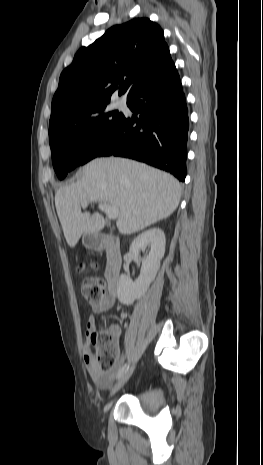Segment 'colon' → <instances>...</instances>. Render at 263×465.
<instances>
[{"label":"colon","instance_id":"5ec220e1","mask_svg":"<svg viewBox=\"0 0 263 465\" xmlns=\"http://www.w3.org/2000/svg\"><path fill=\"white\" fill-rule=\"evenodd\" d=\"M85 269L81 264L79 270ZM81 291L90 303L99 301L105 296L106 283L98 277H87L83 280ZM89 343L95 348V362L102 372H109L119 363V347L114 330H95L89 336Z\"/></svg>","mask_w":263,"mask_h":465}]
</instances>
